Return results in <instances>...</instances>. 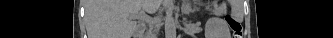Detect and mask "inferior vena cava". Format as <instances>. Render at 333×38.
I'll list each match as a JSON object with an SVG mask.
<instances>
[{"label": "inferior vena cava", "mask_w": 333, "mask_h": 38, "mask_svg": "<svg viewBox=\"0 0 333 38\" xmlns=\"http://www.w3.org/2000/svg\"><path fill=\"white\" fill-rule=\"evenodd\" d=\"M156 23H157V21H156V20H154V21H153V24H156ZM150 34H151V33H150Z\"/></svg>", "instance_id": "obj_1"}]
</instances>
